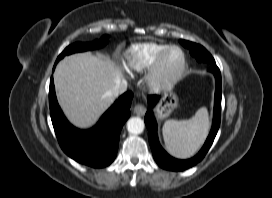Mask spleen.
Returning a JSON list of instances; mask_svg holds the SVG:
<instances>
[{
	"label": "spleen",
	"mask_w": 272,
	"mask_h": 198,
	"mask_svg": "<svg viewBox=\"0 0 272 198\" xmlns=\"http://www.w3.org/2000/svg\"><path fill=\"white\" fill-rule=\"evenodd\" d=\"M208 130V111L202 107L188 120H167L163 125L162 134L170 154L178 158H188L203 144Z\"/></svg>",
	"instance_id": "1"
}]
</instances>
